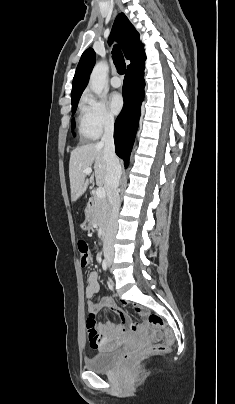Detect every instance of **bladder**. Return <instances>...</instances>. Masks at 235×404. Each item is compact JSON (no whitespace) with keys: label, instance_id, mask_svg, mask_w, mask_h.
<instances>
[{"label":"bladder","instance_id":"1","mask_svg":"<svg viewBox=\"0 0 235 404\" xmlns=\"http://www.w3.org/2000/svg\"><path fill=\"white\" fill-rule=\"evenodd\" d=\"M121 352L119 345L102 347L98 353L85 361V365L93 372H107L119 360Z\"/></svg>","mask_w":235,"mask_h":404}]
</instances>
